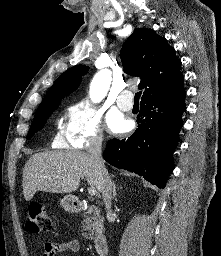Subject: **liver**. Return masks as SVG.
<instances>
[{"label": "liver", "mask_w": 221, "mask_h": 256, "mask_svg": "<svg viewBox=\"0 0 221 256\" xmlns=\"http://www.w3.org/2000/svg\"><path fill=\"white\" fill-rule=\"evenodd\" d=\"M84 177L100 191V171L90 154L73 150L36 153L23 169L24 198L30 201L37 191L74 192Z\"/></svg>", "instance_id": "6515ba94"}]
</instances>
